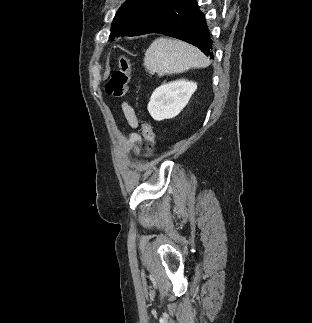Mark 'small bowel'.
Segmentation results:
<instances>
[{
    "mask_svg": "<svg viewBox=\"0 0 312 323\" xmlns=\"http://www.w3.org/2000/svg\"><path fill=\"white\" fill-rule=\"evenodd\" d=\"M122 113L126 123V127L136 129L138 126V119L132 106L127 102L121 104ZM124 129V136L122 138V148L124 150L136 149L141 144V137L136 132L127 133Z\"/></svg>",
    "mask_w": 312,
    "mask_h": 323,
    "instance_id": "small-bowel-1",
    "label": "small bowel"
}]
</instances>
